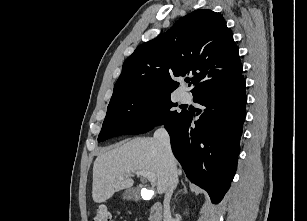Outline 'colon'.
<instances>
[{
    "label": "colon",
    "mask_w": 307,
    "mask_h": 221,
    "mask_svg": "<svg viewBox=\"0 0 307 221\" xmlns=\"http://www.w3.org/2000/svg\"><path fill=\"white\" fill-rule=\"evenodd\" d=\"M92 221H111V213L106 205H100L94 212Z\"/></svg>",
    "instance_id": "colon-1"
}]
</instances>
